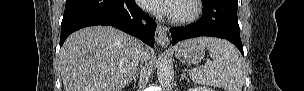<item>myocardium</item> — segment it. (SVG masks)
Returning a JSON list of instances; mask_svg holds the SVG:
<instances>
[{"mask_svg":"<svg viewBox=\"0 0 304 91\" xmlns=\"http://www.w3.org/2000/svg\"><path fill=\"white\" fill-rule=\"evenodd\" d=\"M190 3L191 9L187 14L179 16H170V20L175 24H188L199 18L202 13V5L200 0H180Z\"/></svg>","mask_w":304,"mask_h":91,"instance_id":"1","label":"myocardium"}]
</instances>
